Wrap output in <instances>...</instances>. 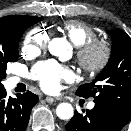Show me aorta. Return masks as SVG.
<instances>
[{
  "instance_id": "aorta-1",
  "label": "aorta",
  "mask_w": 131,
  "mask_h": 131,
  "mask_svg": "<svg viewBox=\"0 0 131 131\" xmlns=\"http://www.w3.org/2000/svg\"><path fill=\"white\" fill-rule=\"evenodd\" d=\"M69 45L66 40L62 38H54L49 42V52L58 57H63L68 53ZM57 116L62 120L71 119L74 114V110L69 103H60L56 108Z\"/></svg>"
}]
</instances>
